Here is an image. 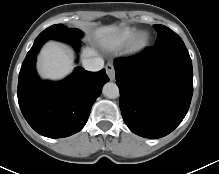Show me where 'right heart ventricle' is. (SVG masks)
Listing matches in <instances>:
<instances>
[{
	"label": "right heart ventricle",
	"instance_id": "1",
	"mask_svg": "<svg viewBox=\"0 0 219 174\" xmlns=\"http://www.w3.org/2000/svg\"><path fill=\"white\" fill-rule=\"evenodd\" d=\"M137 30L133 27H124L116 30L106 39V45L110 48L121 47L129 43L136 35Z\"/></svg>",
	"mask_w": 219,
	"mask_h": 174
}]
</instances>
